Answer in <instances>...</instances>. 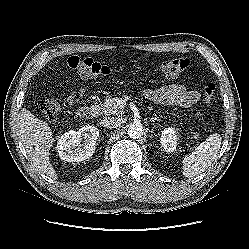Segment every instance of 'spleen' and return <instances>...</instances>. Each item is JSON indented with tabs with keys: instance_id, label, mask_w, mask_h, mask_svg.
<instances>
[{
	"instance_id": "obj_1",
	"label": "spleen",
	"mask_w": 249,
	"mask_h": 249,
	"mask_svg": "<svg viewBox=\"0 0 249 249\" xmlns=\"http://www.w3.org/2000/svg\"><path fill=\"white\" fill-rule=\"evenodd\" d=\"M221 145L219 134L210 135L191 154L182 161V174L185 177H194L203 173L217 157Z\"/></svg>"
}]
</instances>
